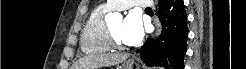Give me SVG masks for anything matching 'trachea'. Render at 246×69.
<instances>
[{
	"instance_id": "trachea-1",
	"label": "trachea",
	"mask_w": 246,
	"mask_h": 69,
	"mask_svg": "<svg viewBox=\"0 0 246 69\" xmlns=\"http://www.w3.org/2000/svg\"><path fill=\"white\" fill-rule=\"evenodd\" d=\"M146 10H151V8H146Z\"/></svg>"
}]
</instances>
